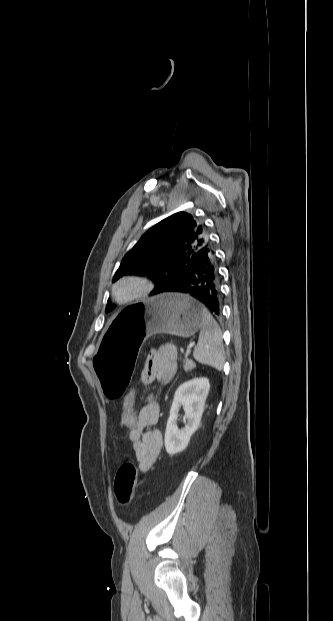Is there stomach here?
<instances>
[{"mask_svg": "<svg viewBox=\"0 0 333 621\" xmlns=\"http://www.w3.org/2000/svg\"><path fill=\"white\" fill-rule=\"evenodd\" d=\"M206 309L179 293H165L133 304L105 327L95 356L100 390L107 402H122L134 375L144 338L165 333L190 337L201 327Z\"/></svg>", "mask_w": 333, "mask_h": 621, "instance_id": "stomach-1", "label": "stomach"}]
</instances>
